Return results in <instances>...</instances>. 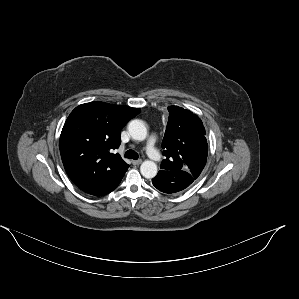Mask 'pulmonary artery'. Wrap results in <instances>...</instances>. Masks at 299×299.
Returning <instances> with one entry per match:
<instances>
[{
	"instance_id": "pulmonary-artery-1",
	"label": "pulmonary artery",
	"mask_w": 299,
	"mask_h": 299,
	"mask_svg": "<svg viewBox=\"0 0 299 299\" xmlns=\"http://www.w3.org/2000/svg\"><path fill=\"white\" fill-rule=\"evenodd\" d=\"M146 150L151 158L152 161L154 162H159L161 160V155L158 153V151L155 148V137L151 136L147 143H146Z\"/></svg>"
}]
</instances>
